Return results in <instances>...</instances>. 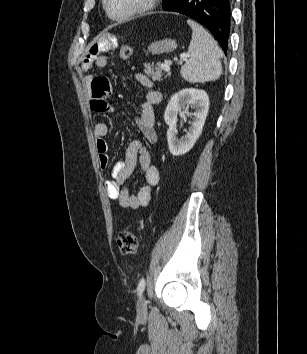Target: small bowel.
Segmentation results:
<instances>
[{
  "label": "small bowel",
  "mask_w": 307,
  "mask_h": 354,
  "mask_svg": "<svg viewBox=\"0 0 307 354\" xmlns=\"http://www.w3.org/2000/svg\"><path fill=\"white\" fill-rule=\"evenodd\" d=\"M117 47V38L112 33L104 34L95 42L85 55L81 68L89 72L94 66L104 68L107 58L103 51H110ZM137 80L146 88V94L141 103V112L137 117V126L144 140L153 143L157 139L155 130V115L153 106L161 101V92L152 86L151 81L143 74L136 75ZM85 85L91 92V108L97 113L112 111L108 99L110 84L107 78L88 74L84 78ZM109 128L104 122H98L94 126L96 148L99 155V165L105 169L109 165L108 143L106 136ZM139 166L145 178L146 185L141 187L137 194H131L126 182ZM111 180L106 181L105 187L109 198L116 199L123 208L133 210L148 206L152 198V187L158 185L160 174L158 168L151 163L150 153L142 140L136 139L130 142L126 149L125 158L117 161L111 168Z\"/></svg>",
  "instance_id": "1"
}]
</instances>
